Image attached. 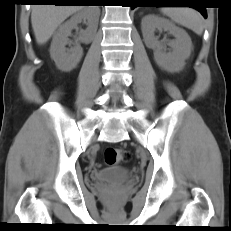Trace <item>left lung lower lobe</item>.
<instances>
[{
  "mask_svg": "<svg viewBox=\"0 0 231 231\" xmlns=\"http://www.w3.org/2000/svg\"><path fill=\"white\" fill-rule=\"evenodd\" d=\"M134 2L138 5L136 6H142V7H157V4L161 3L162 0H134ZM191 5L193 6H189L190 8H195L198 11L201 12V14L206 18L207 17V13H206V9L205 7H200V4L197 3H191ZM136 6H133V8H135Z\"/></svg>",
  "mask_w": 231,
  "mask_h": 231,
  "instance_id": "left-lung-lower-lobe-1",
  "label": "left lung lower lobe"
}]
</instances>
